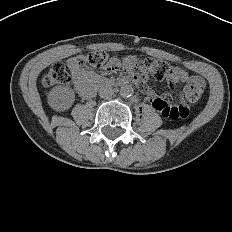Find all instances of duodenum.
Returning <instances> with one entry per match:
<instances>
[{"instance_id":"410a0bca","label":"duodenum","mask_w":232,"mask_h":232,"mask_svg":"<svg viewBox=\"0 0 232 232\" xmlns=\"http://www.w3.org/2000/svg\"><path fill=\"white\" fill-rule=\"evenodd\" d=\"M135 82L134 78H125L120 81H113L105 78H96L92 80L88 86L83 90L82 96L85 98H90L94 95L98 88L103 87H120L132 84Z\"/></svg>"}]
</instances>
